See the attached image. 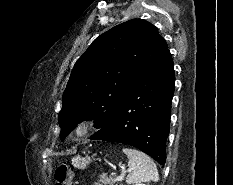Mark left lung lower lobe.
Returning <instances> with one entry per match:
<instances>
[{
	"mask_svg": "<svg viewBox=\"0 0 233 185\" xmlns=\"http://www.w3.org/2000/svg\"><path fill=\"white\" fill-rule=\"evenodd\" d=\"M174 88V65L167 49L136 82L114 119L90 139L134 146L164 165Z\"/></svg>",
	"mask_w": 233,
	"mask_h": 185,
	"instance_id": "obj_1",
	"label": "left lung lower lobe"
}]
</instances>
